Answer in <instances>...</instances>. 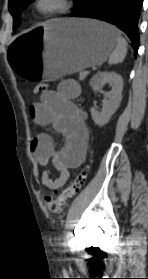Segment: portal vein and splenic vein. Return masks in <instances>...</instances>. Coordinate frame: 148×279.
Masks as SVG:
<instances>
[{"label": "portal vein and splenic vein", "instance_id": "portal-vein-and-splenic-vein-1", "mask_svg": "<svg viewBox=\"0 0 148 279\" xmlns=\"http://www.w3.org/2000/svg\"><path fill=\"white\" fill-rule=\"evenodd\" d=\"M83 74L86 76V75L89 74V72L88 71H84Z\"/></svg>", "mask_w": 148, "mask_h": 279}]
</instances>
